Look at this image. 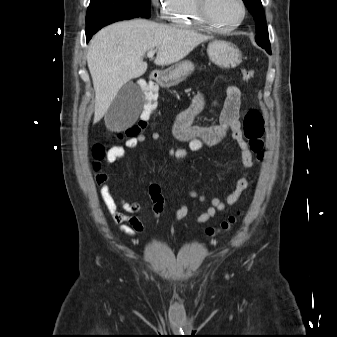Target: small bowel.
Segmentation results:
<instances>
[{"label": "small bowel", "mask_w": 337, "mask_h": 337, "mask_svg": "<svg viewBox=\"0 0 337 337\" xmlns=\"http://www.w3.org/2000/svg\"><path fill=\"white\" fill-rule=\"evenodd\" d=\"M207 99L204 95H198L191 101L187 109L178 116L172 126V135L179 141L188 142L201 140L202 145L212 146L221 143L226 138L234 140L240 148V157L245 169H250L254 164L253 152L245 142L241 130L240 118L243 113L241 109V91L236 86H229L226 89V98L219 112V123L216 125H195L194 118L205 111ZM152 141H158L160 134L152 132L149 136ZM147 137L139 134L128 138L124 146L115 145L108 149L105 161L112 164L125 156L126 149H135L144 143ZM111 176L109 172L103 171L96 176V184L100 187L101 199L111 215L115 224L119 225L121 232L126 235H136L144 231L145 226L142 220L136 215L140 206L136 202L125 200L122 196L116 197L113 187L110 185ZM248 187V175L245 174L236 182L234 189L221 199L216 196L200 195L195 189L190 190V197L203 203H209L202 213L196 218L197 224H205L211 220L218 212L225 211L228 207L237 203ZM179 195L177 188H174ZM150 199L153 203L152 211L155 220H158L164 210V200L159 184H151L148 189ZM188 214V207L181 201L175 217L172 221L176 225Z\"/></svg>", "instance_id": "obj_1"}]
</instances>
